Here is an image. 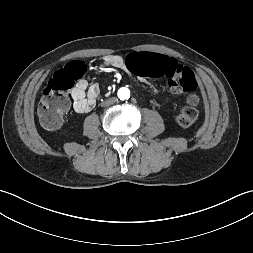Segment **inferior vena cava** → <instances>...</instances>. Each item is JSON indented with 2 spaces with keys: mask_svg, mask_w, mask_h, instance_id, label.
Wrapping results in <instances>:
<instances>
[{
  "mask_svg": "<svg viewBox=\"0 0 253 253\" xmlns=\"http://www.w3.org/2000/svg\"><path fill=\"white\" fill-rule=\"evenodd\" d=\"M115 101H116V98L112 97V98L106 100L103 105L104 106H109V105L115 103Z\"/></svg>",
  "mask_w": 253,
  "mask_h": 253,
  "instance_id": "inferior-vena-cava-1",
  "label": "inferior vena cava"
}]
</instances>
